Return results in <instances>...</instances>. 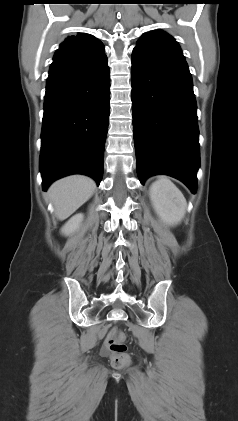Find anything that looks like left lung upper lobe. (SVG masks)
I'll return each mask as SVG.
<instances>
[{
    "label": "left lung upper lobe",
    "mask_w": 238,
    "mask_h": 421,
    "mask_svg": "<svg viewBox=\"0 0 238 421\" xmlns=\"http://www.w3.org/2000/svg\"><path fill=\"white\" fill-rule=\"evenodd\" d=\"M134 50L150 55L181 54L182 51L175 39L164 31H153L139 39Z\"/></svg>",
    "instance_id": "1"
}]
</instances>
